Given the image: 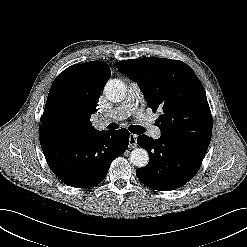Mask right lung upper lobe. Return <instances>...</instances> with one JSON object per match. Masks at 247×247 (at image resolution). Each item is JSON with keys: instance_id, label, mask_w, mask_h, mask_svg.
Segmentation results:
<instances>
[{"instance_id": "cb5924a9", "label": "right lung upper lobe", "mask_w": 247, "mask_h": 247, "mask_svg": "<svg viewBox=\"0 0 247 247\" xmlns=\"http://www.w3.org/2000/svg\"><path fill=\"white\" fill-rule=\"evenodd\" d=\"M109 78L110 68L103 61L68 67L50 88L40 129L73 138L100 133L92 126L90 117L97 111V100Z\"/></svg>"}]
</instances>
